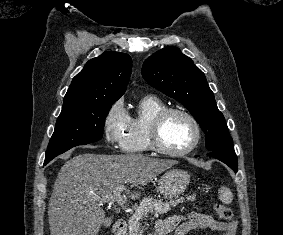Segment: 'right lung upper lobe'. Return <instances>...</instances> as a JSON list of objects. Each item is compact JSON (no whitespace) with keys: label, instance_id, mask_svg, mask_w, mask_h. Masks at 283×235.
I'll return each mask as SVG.
<instances>
[{"label":"right lung upper lobe","instance_id":"1","mask_svg":"<svg viewBox=\"0 0 283 235\" xmlns=\"http://www.w3.org/2000/svg\"><path fill=\"white\" fill-rule=\"evenodd\" d=\"M132 68L131 57L119 52H104L88 61L77 74L64 97L73 101H117L126 90Z\"/></svg>","mask_w":283,"mask_h":235}]
</instances>
